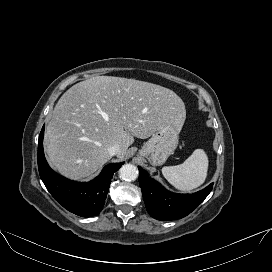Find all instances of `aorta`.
Returning a JSON list of instances; mask_svg holds the SVG:
<instances>
[{"instance_id": "1", "label": "aorta", "mask_w": 272, "mask_h": 272, "mask_svg": "<svg viewBox=\"0 0 272 272\" xmlns=\"http://www.w3.org/2000/svg\"><path fill=\"white\" fill-rule=\"evenodd\" d=\"M119 175L125 181H134L138 177V169L133 164H125L120 168Z\"/></svg>"}]
</instances>
